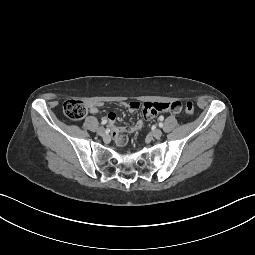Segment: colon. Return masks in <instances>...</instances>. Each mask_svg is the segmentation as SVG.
Wrapping results in <instances>:
<instances>
[{"label": "colon", "mask_w": 255, "mask_h": 255, "mask_svg": "<svg viewBox=\"0 0 255 255\" xmlns=\"http://www.w3.org/2000/svg\"><path fill=\"white\" fill-rule=\"evenodd\" d=\"M184 110L188 115H192L194 113V105L191 102H186L184 105ZM63 111L68 119L79 121L86 116L87 105L83 100L73 98L64 103Z\"/></svg>", "instance_id": "5ec220e1"}]
</instances>
